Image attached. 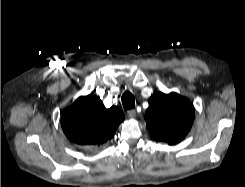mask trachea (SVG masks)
I'll return each mask as SVG.
<instances>
[{
  "label": "trachea",
  "mask_w": 245,
  "mask_h": 187,
  "mask_svg": "<svg viewBox=\"0 0 245 187\" xmlns=\"http://www.w3.org/2000/svg\"><path fill=\"white\" fill-rule=\"evenodd\" d=\"M121 100L123 107L127 110L132 109L135 105L134 96L129 91L123 93Z\"/></svg>",
  "instance_id": "3493384b"
}]
</instances>
